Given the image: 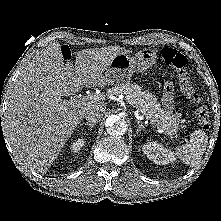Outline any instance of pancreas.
I'll list each match as a JSON object with an SVG mask.
<instances>
[{
	"instance_id": "obj_1",
	"label": "pancreas",
	"mask_w": 221,
	"mask_h": 221,
	"mask_svg": "<svg viewBox=\"0 0 221 221\" xmlns=\"http://www.w3.org/2000/svg\"><path fill=\"white\" fill-rule=\"evenodd\" d=\"M109 94L119 95L124 94L129 96L135 102V108L146 115L152 123H157L168 134H175L178 129L184 128L180 125L184 120L181 119L180 113H173L171 110H165L157 102L155 95L148 91H142V88L131 82H126L120 85H115L108 90Z\"/></svg>"
}]
</instances>
